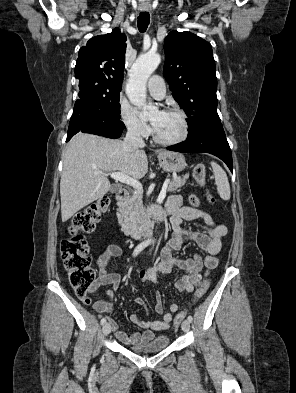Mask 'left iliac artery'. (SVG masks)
Here are the masks:
<instances>
[{
  "instance_id": "obj_1",
  "label": "left iliac artery",
  "mask_w": 296,
  "mask_h": 393,
  "mask_svg": "<svg viewBox=\"0 0 296 393\" xmlns=\"http://www.w3.org/2000/svg\"><path fill=\"white\" fill-rule=\"evenodd\" d=\"M187 319H188L189 322H192V320H193L192 316H190V315L188 316Z\"/></svg>"
}]
</instances>
